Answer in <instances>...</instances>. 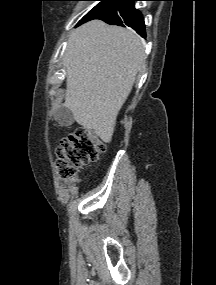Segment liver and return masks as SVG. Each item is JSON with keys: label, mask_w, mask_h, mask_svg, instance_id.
Here are the masks:
<instances>
[{"label": "liver", "mask_w": 216, "mask_h": 285, "mask_svg": "<svg viewBox=\"0 0 216 285\" xmlns=\"http://www.w3.org/2000/svg\"><path fill=\"white\" fill-rule=\"evenodd\" d=\"M65 107L86 129L110 142L117 115L144 67V46L132 30L91 21L69 37Z\"/></svg>", "instance_id": "liver-1"}]
</instances>
